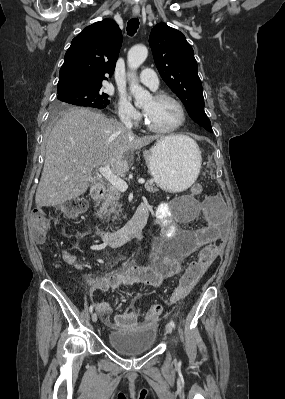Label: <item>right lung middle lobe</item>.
<instances>
[{"label":"right lung middle lobe","instance_id":"right-lung-middle-lobe-1","mask_svg":"<svg viewBox=\"0 0 285 399\" xmlns=\"http://www.w3.org/2000/svg\"><path fill=\"white\" fill-rule=\"evenodd\" d=\"M100 89H74L57 92L56 111H61L72 105L104 109L109 105L110 101L108 100V95Z\"/></svg>","mask_w":285,"mask_h":399}]
</instances>
